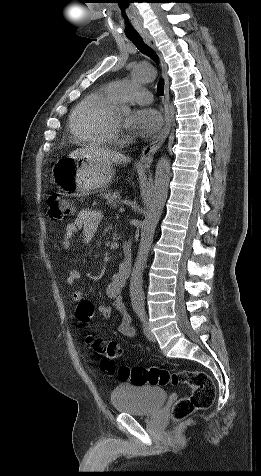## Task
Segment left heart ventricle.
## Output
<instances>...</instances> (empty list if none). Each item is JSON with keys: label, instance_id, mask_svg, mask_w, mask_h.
I'll use <instances>...</instances> for the list:
<instances>
[{"label": "left heart ventricle", "instance_id": "1", "mask_svg": "<svg viewBox=\"0 0 261 476\" xmlns=\"http://www.w3.org/2000/svg\"><path fill=\"white\" fill-rule=\"evenodd\" d=\"M125 120H126V118L124 116H117L114 119V121L119 125L122 124Z\"/></svg>", "mask_w": 261, "mask_h": 476}]
</instances>
